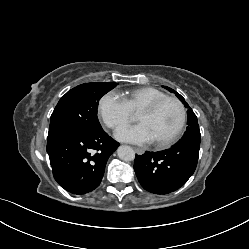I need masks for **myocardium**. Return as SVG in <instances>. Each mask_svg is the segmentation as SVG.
Returning a JSON list of instances; mask_svg holds the SVG:
<instances>
[{"label":"myocardium","mask_w":249,"mask_h":249,"mask_svg":"<svg viewBox=\"0 0 249 249\" xmlns=\"http://www.w3.org/2000/svg\"><path fill=\"white\" fill-rule=\"evenodd\" d=\"M166 101H174L175 103H177V105L180 108L181 118L178 127L168 138L160 141H154L155 146L160 149L167 148L173 145L179 139L181 133L183 132L187 121V110L185 105L177 97L165 96L157 100H154L153 102L145 105L138 111V113H153L161 104H163Z\"/></svg>","instance_id":"myocardium-1"}]
</instances>
